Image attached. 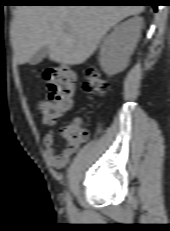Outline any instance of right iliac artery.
<instances>
[{"label":"right iliac artery","mask_w":170,"mask_h":231,"mask_svg":"<svg viewBox=\"0 0 170 231\" xmlns=\"http://www.w3.org/2000/svg\"><path fill=\"white\" fill-rule=\"evenodd\" d=\"M66 204H67L68 210H71L72 209V201H71V197L69 195H67V197H66Z\"/></svg>","instance_id":"right-iliac-artery-1"}]
</instances>
